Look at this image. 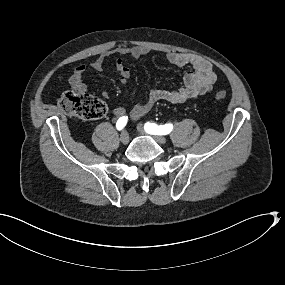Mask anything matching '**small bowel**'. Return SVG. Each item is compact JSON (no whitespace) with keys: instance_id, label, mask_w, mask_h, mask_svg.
<instances>
[{"instance_id":"1","label":"small bowel","mask_w":285,"mask_h":285,"mask_svg":"<svg viewBox=\"0 0 285 285\" xmlns=\"http://www.w3.org/2000/svg\"><path fill=\"white\" fill-rule=\"evenodd\" d=\"M148 49L141 46L120 45L114 50L103 52L98 58L90 64L93 71L101 72L107 59L112 55L125 56L129 55L135 59L148 54ZM167 60L174 66H190L191 70L184 76L183 85L176 90L153 89L150 91L146 101L135 104L131 109V116L137 120L148 113L153 106L159 101H166L173 104L184 103L189 100L198 98L201 95L209 93L217 80V75L212 64L201 56L191 53L169 52L166 55ZM116 70L119 74L121 83H125L130 76V70L121 58L116 60ZM87 67L78 66L69 78V84L74 91L86 90L83 81ZM104 98L109 97L107 91L102 92ZM116 117L120 118L127 114L124 107H117L114 110Z\"/></svg>"}]
</instances>
